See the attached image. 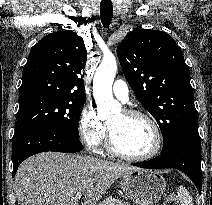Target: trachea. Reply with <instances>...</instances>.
<instances>
[{
	"label": "trachea",
	"mask_w": 212,
	"mask_h": 205,
	"mask_svg": "<svg viewBox=\"0 0 212 205\" xmlns=\"http://www.w3.org/2000/svg\"><path fill=\"white\" fill-rule=\"evenodd\" d=\"M100 17L101 22L105 28H108L113 18V6L112 4L100 5Z\"/></svg>",
	"instance_id": "1"
}]
</instances>
